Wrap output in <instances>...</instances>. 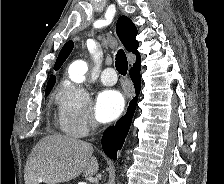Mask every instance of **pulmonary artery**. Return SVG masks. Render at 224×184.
<instances>
[{"instance_id":"obj_1","label":"pulmonary artery","mask_w":224,"mask_h":184,"mask_svg":"<svg viewBox=\"0 0 224 184\" xmlns=\"http://www.w3.org/2000/svg\"><path fill=\"white\" fill-rule=\"evenodd\" d=\"M101 82L106 86H112L117 82V75L113 68H106L101 74Z\"/></svg>"}]
</instances>
